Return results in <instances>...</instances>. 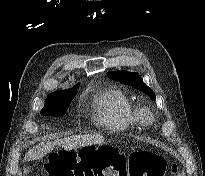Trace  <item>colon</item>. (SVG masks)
<instances>
[{
    "instance_id": "obj_1",
    "label": "colon",
    "mask_w": 205,
    "mask_h": 176,
    "mask_svg": "<svg viewBox=\"0 0 205 176\" xmlns=\"http://www.w3.org/2000/svg\"><path fill=\"white\" fill-rule=\"evenodd\" d=\"M166 169L164 158L150 150L133 152L125 160L102 148L53 152L47 166L50 176H164ZM171 170L175 173L177 166Z\"/></svg>"
}]
</instances>
